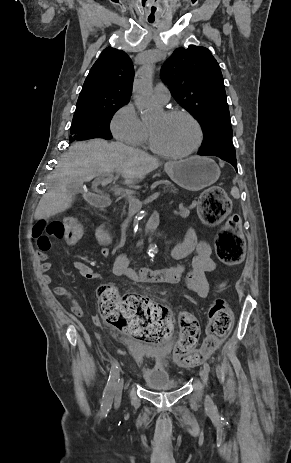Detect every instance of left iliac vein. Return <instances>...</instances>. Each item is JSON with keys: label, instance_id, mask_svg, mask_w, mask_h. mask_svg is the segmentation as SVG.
<instances>
[{"label": "left iliac vein", "instance_id": "obj_1", "mask_svg": "<svg viewBox=\"0 0 291 463\" xmlns=\"http://www.w3.org/2000/svg\"><path fill=\"white\" fill-rule=\"evenodd\" d=\"M200 377H201V380L203 381V383L205 385H207V383H208V372L204 367L200 370ZM206 401H207V403H210V397L209 396H207Z\"/></svg>", "mask_w": 291, "mask_h": 463}]
</instances>
